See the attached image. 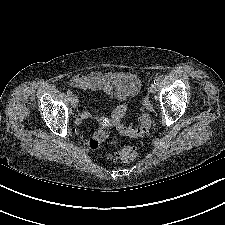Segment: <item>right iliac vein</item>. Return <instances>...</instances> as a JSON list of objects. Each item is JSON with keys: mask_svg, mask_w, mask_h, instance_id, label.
<instances>
[{"mask_svg": "<svg viewBox=\"0 0 225 225\" xmlns=\"http://www.w3.org/2000/svg\"><path fill=\"white\" fill-rule=\"evenodd\" d=\"M69 100H70V103H71L72 107L76 108L77 105H78V98H77V96L76 95H72Z\"/></svg>", "mask_w": 225, "mask_h": 225, "instance_id": "63e3f726", "label": "right iliac vein"}]
</instances>
